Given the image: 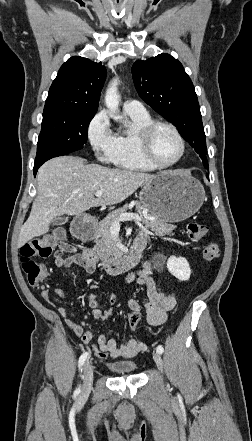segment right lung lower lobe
Masks as SVG:
<instances>
[{"mask_svg": "<svg viewBox=\"0 0 252 441\" xmlns=\"http://www.w3.org/2000/svg\"><path fill=\"white\" fill-rule=\"evenodd\" d=\"M42 164H43V163H38V164H35V165H34V169H33V171H34V176L36 175L38 168H39Z\"/></svg>", "mask_w": 252, "mask_h": 441, "instance_id": "obj_1", "label": "right lung lower lobe"}]
</instances>
